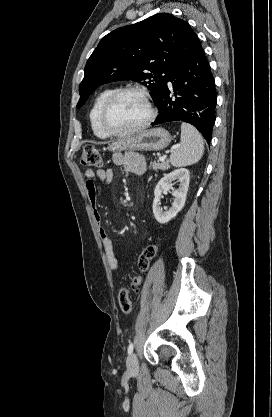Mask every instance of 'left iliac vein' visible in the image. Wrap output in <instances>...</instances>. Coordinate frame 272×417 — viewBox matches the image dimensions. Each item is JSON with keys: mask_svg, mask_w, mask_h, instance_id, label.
Here are the masks:
<instances>
[{"mask_svg": "<svg viewBox=\"0 0 272 417\" xmlns=\"http://www.w3.org/2000/svg\"><path fill=\"white\" fill-rule=\"evenodd\" d=\"M127 370L134 373L138 370V359L135 353H131L127 358Z\"/></svg>", "mask_w": 272, "mask_h": 417, "instance_id": "obj_1", "label": "left iliac vein"}]
</instances>
